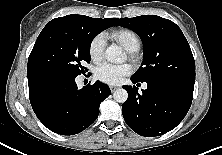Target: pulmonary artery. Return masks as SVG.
Returning a JSON list of instances; mask_svg holds the SVG:
<instances>
[{
    "label": "pulmonary artery",
    "instance_id": "obj_1",
    "mask_svg": "<svg viewBox=\"0 0 222 155\" xmlns=\"http://www.w3.org/2000/svg\"><path fill=\"white\" fill-rule=\"evenodd\" d=\"M143 87H144V88H146V87H147V85H144Z\"/></svg>",
    "mask_w": 222,
    "mask_h": 155
}]
</instances>
